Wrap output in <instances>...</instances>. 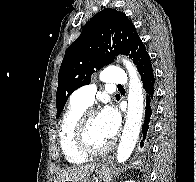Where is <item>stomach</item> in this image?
Returning a JSON list of instances; mask_svg holds the SVG:
<instances>
[{
    "instance_id": "0dacf381",
    "label": "stomach",
    "mask_w": 196,
    "mask_h": 182,
    "mask_svg": "<svg viewBox=\"0 0 196 182\" xmlns=\"http://www.w3.org/2000/svg\"><path fill=\"white\" fill-rule=\"evenodd\" d=\"M96 174L100 179H102L104 182H109L112 176V170L111 168L105 164V163H99L95 170ZM60 182H90L88 180L86 181H75V180H63Z\"/></svg>"
}]
</instances>
